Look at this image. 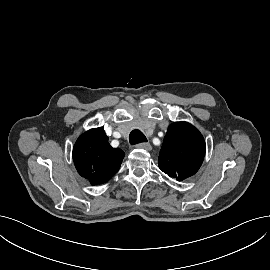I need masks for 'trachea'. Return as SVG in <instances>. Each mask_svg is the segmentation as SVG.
Returning a JSON list of instances; mask_svg holds the SVG:
<instances>
[{
    "mask_svg": "<svg viewBox=\"0 0 270 270\" xmlns=\"http://www.w3.org/2000/svg\"><path fill=\"white\" fill-rule=\"evenodd\" d=\"M129 142L131 145L147 142V138L140 130H133L129 135Z\"/></svg>",
    "mask_w": 270,
    "mask_h": 270,
    "instance_id": "trachea-1",
    "label": "trachea"
}]
</instances>
